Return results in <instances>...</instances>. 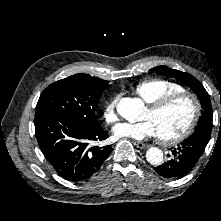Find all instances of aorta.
<instances>
[{
	"label": "aorta",
	"mask_w": 221,
	"mask_h": 221,
	"mask_svg": "<svg viewBox=\"0 0 221 221\" xmlns=\"http://www.w3.org/2000/svg\"><path fill=\"white\" fill-rule=\"evenodd\" d=\"M142 109V102L133 98H123L117 105L118 113L129 122L138 121ZM146 159L151 165H160L163 161V152L157 147H151L146 152Z\"/></svg>",
	"instance_id": "1"
}]
</instances>
